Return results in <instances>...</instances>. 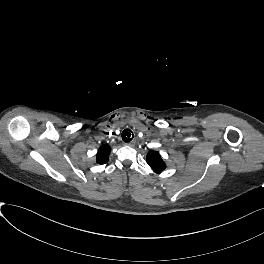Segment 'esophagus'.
<instances>
[{
    "instance_id": "esophagus-1",
    "label": "esophagus",
    "mask_w": 264,
    "mask_h": 264,
    "mask_svg": "<svg viewBox=\"0 0 264 264\" xmlns=\"http://www.w3.org/2000/svg\"><path fill=\"white\" fill-rule=\"evenodd\" d=\"M125 145L133 146L134 145V142L125 143Z\"/></svg>"
}]
</instances>
